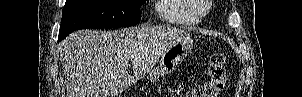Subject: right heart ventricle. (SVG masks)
Wrapping results in <instances>:
<instances>
[{
  "instance_id": "right-heart-ventricle-1",
  "label": "right heart ventricle",
  "mask_w": 302,
  "mask_h": 97,
  "mask_svg": "<svg viewBox=\"0 0 302 97\" xmlns=\"http://www.w3.org/2000/svg\"><path fill=\"white\" fill-rule=\"evenodd\" d=\"M156 12L162 21L171 25L191 26L200 20L190 12L185 0H160Z\"/></svg>"
}]
</instances>
